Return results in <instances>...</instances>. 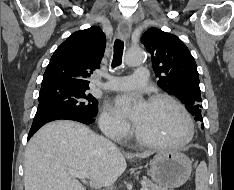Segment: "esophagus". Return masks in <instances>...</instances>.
<instances>
[{"mask_svg": "<svg viewBox=\"0 0 234 190\" xmlns=\"http://www.w3.org/2000/svg\"><path fill=\"white\" fill-rule=\"evenodd\" d=\"M117 31L119 36L128 38L131 33V24L128 21H123L118 26Z\"/></svg>", "mask_w": 234, "mask_h": 190, "instance_id": "esophagus-1", "label": "esophagus"}]
</instances>
